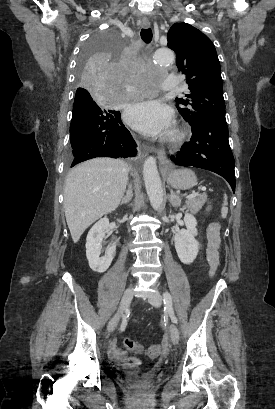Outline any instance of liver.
<instances>
[{
  "label": "liver",
  "instance_id": "liver-1",
  "mask_svg": "<svg viewBox=\"0 0 275 409\" xmlns=\"http://www.w3.org/2000/svg\"><path fill=\"white\" fill-rule=\"evenodd\" d=\"M128 164L120 158H92L70 170L64 186V211L73 239L115 211L128 182Z\"/></svg>",
  "mask_w": 275,
  "mask_h": 409
}]
</instances>
